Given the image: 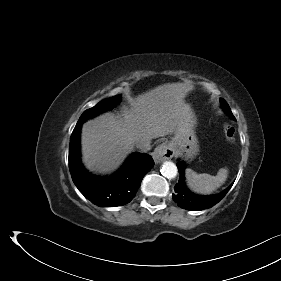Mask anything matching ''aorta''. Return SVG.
Listing matches in <instances>:
<instances>
[{"mask_svg":"<svg viewBox=\"0 0 281 281\" xmlns=\"http://www.w3.org/2000/svg\"><path fill=\"white\" fill-rule=\"evenodd\" d=\"M160 171L161 174L168 179L175 178L178 173L177 166L171 161H165Z\"/></svg>","mask_w":281,"mask_h":281,"instance_id":"obj_1","label":"aorta"}]
</instances>
